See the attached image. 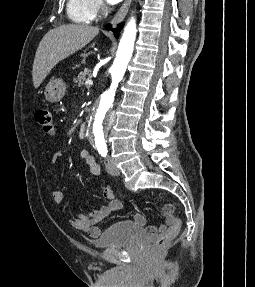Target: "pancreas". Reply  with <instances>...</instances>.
Masks as SVG:
<instances>
[{"mask_svg":"<svg viewBox=\"0 0 255 287\" xmlns=\"http://www.w3.org/2000/svg\"><path fill=\"white\" fill-rule=\"evenodd\" d=\"M89 78H92L91 70L85 68L84 72H79L77 78H74V84H76V86H83L84 82L89 80Z\"/></svg>","mask_w":255,"mask_h":287,"instance_id":"pancreas-1","label":"pancreas"}]
</instances>
